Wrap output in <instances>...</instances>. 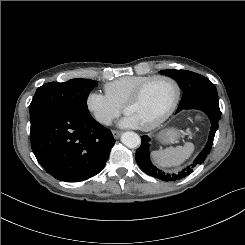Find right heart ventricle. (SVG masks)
<instances>
[{
	"label": "right heart ventricle",
	"instance_id": "right-heart-ventricle-1",
	"mask_svg": "<svg viewBox=\"0 0 245 245\" xmlns=\"http://www.w3.org/2000/svg\"><path fill=\"white\" fill-rule=\"evenodd\" d=\"M152 76L131 75L122 76L105 84L106 95L117 105L123 107L133 91Z\"/></svg>",
	"mask_w": 245,
	"mask_h": 245
}]
</instances>
